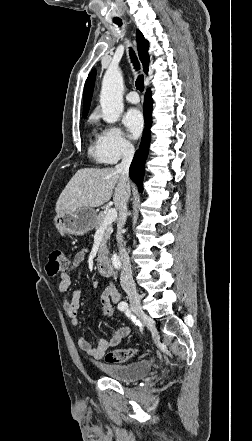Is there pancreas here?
<instances>
[{"label":"pancreas","instance_id":"pancreas-1","mask_svg":"<svg viewBox=\"0 0 252 441\" xmlns=\"http://www.w3.org/2000/svg\"><path fill=\"white\" fill-rule=\"evenodd\" d=\"M105 218V213L104 212H100L97 216H96V220H95V224H94V228L98 229L103 225V221ZM112 224H108L105 228L104 234H103V238L99 247V252H98V261L101 262L103 260V258L105 256L108 255V249H107V241L110 237V234L112 233Z\"/></svg>","mask_w":252,"mask_h":441}]
</instances>
